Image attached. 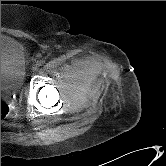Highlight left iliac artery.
Segmentation results:
<instances>
[{
    "label": "left iliac artery",
    "instance_id": "obj_1",
    "mask_svg": "<svg viewBox=\"0 0 166 166\" xmlns=\"http://www.w3.org/2000/svg\"><path fill=\"white\" fill-rule=\"evenodd\" d=\"M45 63V61L42 59V60H40V61H38V65L39 66H41V65H43Z\"/></svg>",
    "mask_w": 166,
    "mask_h": 166
}]
</instances>
